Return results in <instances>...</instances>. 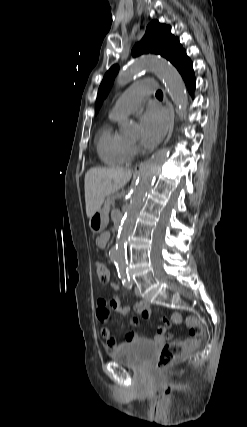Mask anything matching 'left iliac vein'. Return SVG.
<instances>
[{"mask_svg": "<svg viewBox=\"0 0 247 427\" xmlns=\"http://www.w3.org/2000/svg\"><path fill=\"white\" fill-rule=\"evenodd\" d=\"M134 293L136 294V296H141L140 290L137 286L134 287Z\"/></svg>", "mask_w": 247, "mask_h": 427, "instance_id": "1", "label": "left iliac vein"}]
</instances>
